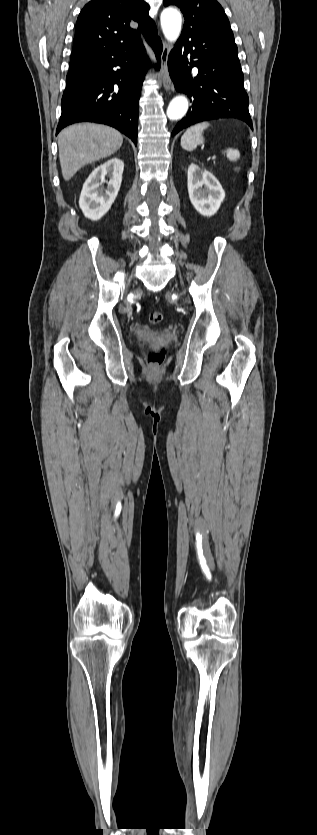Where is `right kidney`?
I'll return each instance as SVG.
<instances>
[{
	"mask_svg": "<svg viewBox=\"0 0 317 835\" xmlns=\"http://www.w3.org/2000/svg\"><path fill=\"white\" fill-rule=\"evenodd\" d=\"M123 169V161L115 157L97 166L91 172L83 185L79 199V206L87 218L96 221L109 211L118 195ZM106 176L110 178L109 181H106ZM105 182L108 184L106 189L103 186Z\"/></svg>",
	"mask_w": 317,
	"mask_h": 835,
	"instance_id": "1",
	"label": "right kidney"
}]
</instances>
